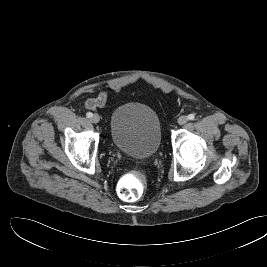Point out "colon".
Listing matches in <instances>:
<instances>
[{
	"label": "colon",
	"instance_id": "obj_1",
	"mask_svg": "<svg viewBox=\"0 0 267 267\" xmlns=\"http://www.w3.org/2000/svg\"><path fill=\"white\" fill-rule=\"evenodd\" d=\"M145 184V178L141 173H128L119 182V196L126 201L138 200L144 193Z\"/></svg>",
	"mask_w": 267,
	"mask_h": 267
}]
</instances>
